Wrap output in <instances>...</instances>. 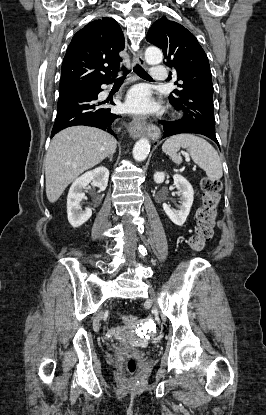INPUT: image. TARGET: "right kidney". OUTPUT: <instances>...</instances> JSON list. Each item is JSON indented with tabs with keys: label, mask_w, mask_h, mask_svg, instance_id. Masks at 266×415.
Listing matches in <instances>:
<instances>
[{
	"label": "right kidney",
	"mask_w": 266,
	"mask_h": 415,
	"mask_svg": "<svg viewBox=\"0 0 266 415\" xmlns=\"http://www.w3.org/2000/svg\"><path fill=\"white\" fill-rule=\"evenodd\" d=\"M108 178V169L101 166L86 172L73 182L67 197V214L68 221L74 228L81 226L92 216L91 208L82 210L80 207V202L85 197L83 190L89 183H92L102 192L107 187Z\"/></svg>",
	"instance_id": "right-kidney-1"
}]
</instances>
